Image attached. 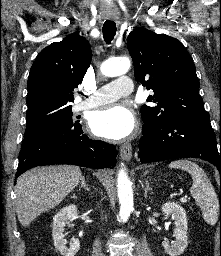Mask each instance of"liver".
Masks as SVG:
<instances>
[{
	"label": "liver",
	"mask_w": 221,
	"mask_h": 256,
	"mask_svg": "<svg viewBox=\"0 0 221 256\" xmlns=\"http://www.w3.org/2000/svg\"><path fill=\"white\" fill-rule=\"evenodd\" d=\"M81 178L80 168L72 165L37 167L22 174L16 183L19 222L27 227L43 212L59 205Z\"/></svg>",
	"instance_id": "1"
}]
</instances>
